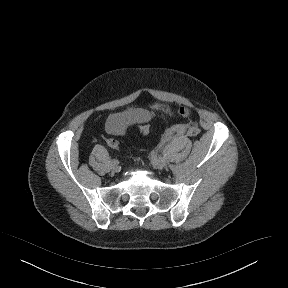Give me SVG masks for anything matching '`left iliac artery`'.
<instances>
[{
	"label": "left iliac artery",
	"mask_w": 288,
	"mask_h": 288,
	"mask_svg": "<svg viewBox=\"0 0 288 288\" xmlns=\"http://www.w3.org/2000/svg\"><path fill=\"white\" fill-rule=\"evenodd\" d=\"M158 156H159V157H162V154H161V153H158Z\"/></svg>",
	"instance_id": "left-iliac-artery-1"
}]
</instances>
